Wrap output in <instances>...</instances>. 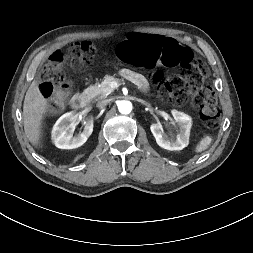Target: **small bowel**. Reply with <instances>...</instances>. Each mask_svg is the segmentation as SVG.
I'll use <instances>...</instances> for the list:
<instances>
[{"label": "small bowel", "instance_id": "1", "mask_svg": "<svg viewBox=\"0 0 253 253\" xmlns=\"http://www.w3.org/2000/svg\"><path fill=\"white\" fill-rule=\"evenodd\" d=\"M121 74L130 80H135L136 83L138 84L139 87H141L142 89L146 88V81L144 78L140 77L137 73H135L134 71L124 68L121 70Z\"/></svg>", "mask_w": 253, "mask_h": 253}]
</instances>
